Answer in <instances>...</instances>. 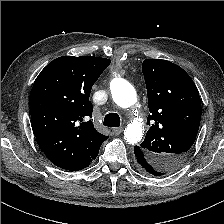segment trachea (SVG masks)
Returning a JSON list of instances; mask_svg holds the SVG:
<instances>
[{
    "mask_svg": "<svg viewBox=\"0 0 224 224\" xmlns=\"http://www.w3.org/2000/svg\"><path fill=\"white\" fill-rule=\"evenodd\" d=\"M103 125L108 127H119L120 126V117L117 113H109L105 116Z\"/></svg>",
    "mask_w": 224,
    "mask_h": 224,
    "instance_id": "trachea-1",
    "label": "trachea"
}]
</instances>
